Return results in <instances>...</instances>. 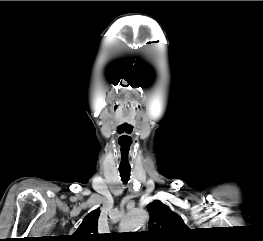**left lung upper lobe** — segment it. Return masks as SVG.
Masks as SVG:
<instances>
[{"label":"left lung upper lobe","instance_id":"obj_1","mask_svg":"<svg viewBox=\"0 0 263 241\" xmlns=\"http://www.w3.org/2000/svg\"><path fill=\"white\" fill-rule=\"evenodd\" d=\"M150 213L148 234L158 241H183L189 228L182 218L158 200L148 204Z\"/></svg>","mask_w":263,"mask_h":241}]
</instances>
